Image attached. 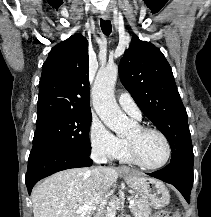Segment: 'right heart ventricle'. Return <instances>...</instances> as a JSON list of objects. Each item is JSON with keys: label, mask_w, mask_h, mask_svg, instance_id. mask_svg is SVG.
I'll use <instances>...</instances> for the list:
<instances>
[{"label": "right heart ventricle", "mask_w": 211, "mask_h": 217, "mask_svg": "<svg viewBox=\"0 0 211 217\" xmlns=\"http://www.w3.org/2000/svg\"><path fill=\"white\" fill-rule=\"evenodd\" d=\"M119 158L123 162H131V159H130L129 154H128L127 145L125 146V149L123 150V152L121 153Z\"/></svg>", "instance_id": "right-heart-ventricle-1"}]
</instances>
